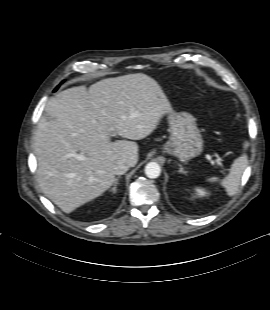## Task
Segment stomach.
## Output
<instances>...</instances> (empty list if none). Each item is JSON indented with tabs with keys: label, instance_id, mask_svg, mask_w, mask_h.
<instances>
[{
	"label": "stomach",
	"instance_id": "stomach-1",
	"mask_svg": "<svg viewBox=\"0 0 270 310\" xmlns=\"http://www.w3.org/2000/svg\"><path fill=\"white\" fill-rule=\"evenodd\" d=\"M170 138L163 147L164 153L186 162L203 151V139L197 128L196 119L187 112L168 113Z\"/></svg>",
	"mask_w": 270,
	"mask_h": 310
}]
</instances>
